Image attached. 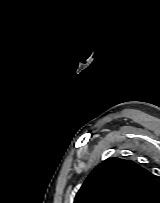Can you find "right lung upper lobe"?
Instances as JSON below:
<instances>
[{"label":"right lung upper lobe","instance_id":"right-lung-upper-lobe-1","mask_svg":"<svg viewBox=\"0 0 160 203\" xmlns=\"http://www.w3.org/2000/svg\"><path fill=\"white\" fill-rule=\"evenodd\" d=\"M160 194L156 177L121 158L100 163L87 177L74 203H153Z\"/></svg>","mask_w":160,"mask_h":203}]
</instances>
